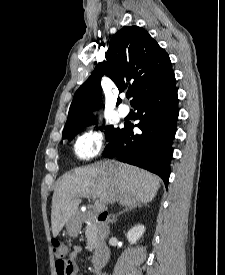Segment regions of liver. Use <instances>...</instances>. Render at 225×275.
<instances>
[{"label": "liver", "mask_w": 225, "mask_h": 275, "mask_svg": "<svg viewBox=\"0 0 225 275\" xmlns=\"http://www.w3.org/2000/svg\"><path fill=\"white\" fill-rule=\"evenodd\" d=\"M160 187V179L143 169L104 160L62 176L52 197L51 226L56 237L75 216L81 197L93 196L102 205L118 201L122 206L148 203Z\"/></svg>", "instance_id": "1"}]
</instances>
